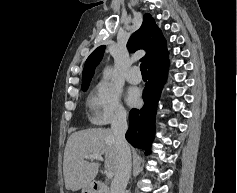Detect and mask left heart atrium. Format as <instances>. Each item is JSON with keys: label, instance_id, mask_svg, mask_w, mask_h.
Instances as JSON below:
<instances>
[{"label": "left heart atrium", "instance_id": "obj_1", "mask_svg": "<svg viewBox=\"0 0 237 193\" xmlns=\"http://www.w3.org/2000/svg\"><path fill=\"white\" fill-rule=\"evenodd\" d=\"M128 103L132 106H135L139 103L140 101V95L137 91H131L129 94H128Z\"/></svg>", "mask_w": 237, "mask_h": 193}]
</instances>
